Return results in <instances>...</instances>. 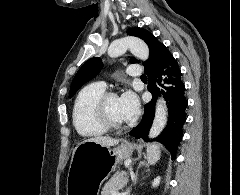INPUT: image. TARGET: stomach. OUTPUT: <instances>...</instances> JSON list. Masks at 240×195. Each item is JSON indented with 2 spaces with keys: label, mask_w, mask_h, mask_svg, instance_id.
I'll list each match as a JSON object with an SVG mask.
<instances>
[{
  "label": "stomach",
  "mask_w": 240,
  "mask_h": 195,
  "mask_svg": "<svg viewBox=\"0 0 240 195\" xmlns=\"http://www.w3.org/2000/svg\"><path fill=\"white\" fill-rule=\"evenodd\" d=\"M143 145L122 141L106 147L97 141H82L75 147L67 175V195H99L100 187L122 159Z\"/></svg>",
  "instance_id": "obj_1"
}]
</instances>
